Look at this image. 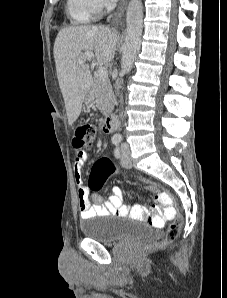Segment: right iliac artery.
<instances>
[{"label": "right iliac artery", "instance_id": "82829eb1", "mask_svg": "<svg viewBox=\"0 0 227 298\" xmlns=\"http://www.w3.org/2000/svg\"><path fill=\"white\" fill-rule=\"evenodd\" d=\"M120 141H121V138H120L119 136H114V137L112 138V143H113L114 145H117Z\"/></svg>", "mask_w": 227, "mask_h": 298}]
</instances>
